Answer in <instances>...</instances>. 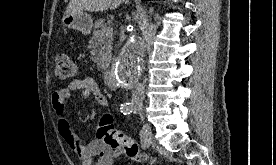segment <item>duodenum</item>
<instances>
[{"instance_id":"1","label":"duodenum","mask_w":276,"mask_h":165,"mask_svg":"<svg viewBox=\"0 0 276 165\" xmlns=\"http://www.w3.org/2000/svg\"><path fill=\"white\" fill-rule=\"evenodd\" d=\"M104 78H105V82H106L107 86L110 89H113V90L117 89V80L112 71L106 70L104 73Z\"/></svg>"}]
</instances>
